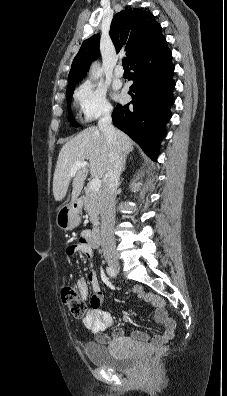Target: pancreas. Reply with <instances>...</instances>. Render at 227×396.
<instances>
[{"label": "pancreas", "mask_w": 227, "mask_h": 396, "mask_svg": "<svg viewBox=\"0 0 227 396\" xmlns=\"http://www.w3.org/2000/svg\"><path fill=\"white\" fill-rule=\"evenodd\" d=\"M84 210L90 217V222L97 226L99 224V214L101 209V192L92 191L90 188L85 190Z\"/></svg>", "instance_id": "1"}]
</instances>
